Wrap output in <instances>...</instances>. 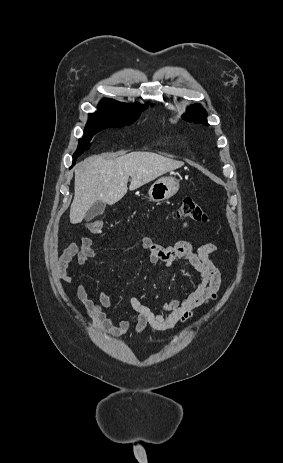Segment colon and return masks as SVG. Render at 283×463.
Here are the masks:
<instances>
[{"label":"colon","instance_id":"colon-1","mask_svg":"<svg viewBox=\"0 0 283 463\" xmlns=\"http://www.w3.org/2000/svg\"><path fill=\"white\" fill-rule=\"evenodd\" d=\"M177 216L195 222H206L208 219L203 208L191 198H184L179 203ZM86 226L90 232L99 234L103 230L104 220L102 218L89 219Z\"/></svg>","mask_w":283,"mask_h":463}]
</instances>
